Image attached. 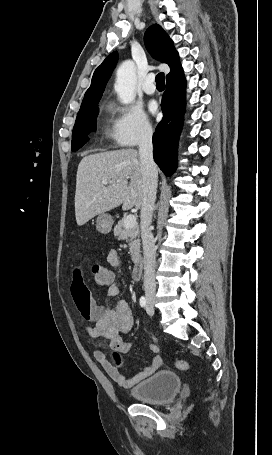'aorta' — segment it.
Returning <instances> with one entry per match:
<instances>
[{
  "instance_id": "aorta-1",
  "label": "aorta",
  "mask_w": 272,
  "mask_h": 455,
  "mask_svg": "<svg viewBox=\"0 0 272 455\" xmlns=\"http://www.w3.org/2000/svg\"><path fill=\"white\" fill-rule=\"evenodd\" d=\"M136 68L131 60L124 61L117 69L114 89L123 104L135 99Z\"/></svg>"
}]
</instances>
